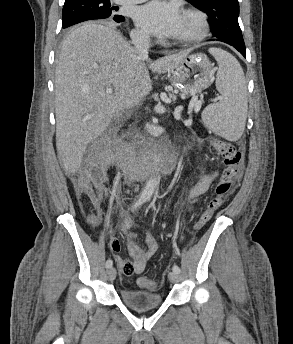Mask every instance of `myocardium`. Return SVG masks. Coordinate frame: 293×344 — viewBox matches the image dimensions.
I'll return each instance as SVG.
<instances>
[{
	"mask_svg": "<svg viewBox=\"0 0 293 344\" xmlns=\"http://www.w3.org/2000/svg\"><path fill=\"white\" fill-rule=\"evenodd\" d=\"M184 17L189 18L194 23L193 32L186 37L174 41L175 45H190L202 41L209 32V22L205 13L198 9H187Z\"/></svg>",
	"mask_w": 293,
	"mask_h": 344,
	"instance_id": "f54148a6",
	"label": "myocardium"
}]
</instances>
